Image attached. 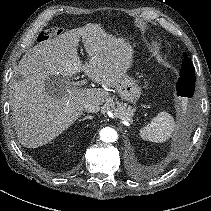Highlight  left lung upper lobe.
Returning a JSON list of instances; mask_svg holds the SVG:
<instances>
[{"label":"left lung upper lobe","mask_w":211,"mask_h":211,"mask_svg":"<svg viewBox=\"0 0 211 211\" xmlns=\"http://www.w3.org/2000/svg\"><path fill=\"white\" fill-rule=\"evenodd\" d=\"M195 89V69L192 61L186 53H184V59L182 69L180 71V78L177 82V94L182 97L192 98Z\"/></svg>","instance_id":"1"}]
</instances>
